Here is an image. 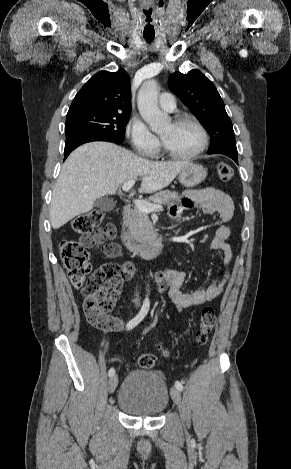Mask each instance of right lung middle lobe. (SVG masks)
I'll return each instance as SVG.
<instances>
[{"instance_id": "dd1d6c3e", "label": "right lung middle lobe", "mask_w": 291, "mask_h": 469, "mask_svg": "<svg viewBox=\"0 0 291 469\" xmlns=\"http://www.w3.org/2000/svg\"><path fill=\"white\" fill-rule=\"evenodd\" d=\"M130 113L84 110L67 114L66 139L75 136H106L124 139Z\"/></svg>"}]
</instances>
